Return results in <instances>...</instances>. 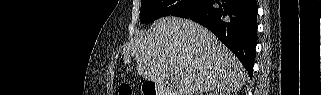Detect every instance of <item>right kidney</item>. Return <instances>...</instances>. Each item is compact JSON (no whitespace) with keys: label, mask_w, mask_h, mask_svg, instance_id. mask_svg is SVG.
Masks as SVG:
<instances>
[{"label":"right kidney","mask_w":321,"mask_h":95,"mask_svg":"<svg viewBox=\"0 0 321 95\" xmlns=\"http://www.w3.org/2000/svg\"><path fill=\"white\" fill-rule=\"evenodd\" d=\"M216 95H218V92L216 91V93H215ZM220 95H225V94H223V93H219ZM227 95V94H226Z\"/></svg>","instance_id":"right-kidney-1"}]
</instances>
